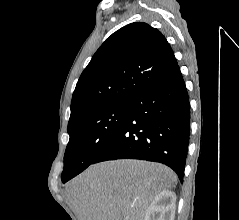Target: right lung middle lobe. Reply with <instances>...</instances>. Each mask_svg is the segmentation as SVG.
<instances>
[{"mask_svg":"<svg viewBox=\"0 0 239 220\" xmlns=\"http://www.w3.org/2000/svg\"><path fill=\"white\" fill-rule=\"evenodd\" d=\"M128 105L118 104L97 110L68 125L70 139L64 155L63 183L93 164L125 120Z\"/></svg>","mask_w":239,"mask_h":220,"instance_id":"obj_1","label":"right lung middle lobe"}]
</instances>
